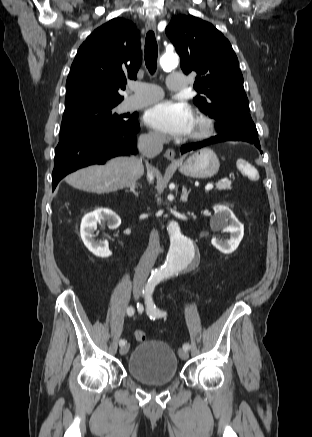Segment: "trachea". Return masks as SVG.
<instances>
[{
    "label": "trachea",
    "instance_id": "3493384b",
    "mask_svg": "<svg viewBox=\"0 0 312 437\" xmlns=\"http://www.w3.org/2000/svg\"><path fill=\"white\" fill-rule=\"evenodd\" d=\"M158 46L153 31H148L145 39V64L151 74L157 68Z\"/></svg>",
    "mask_w": 312,
    "mask_h": 437
}]
</instances>
